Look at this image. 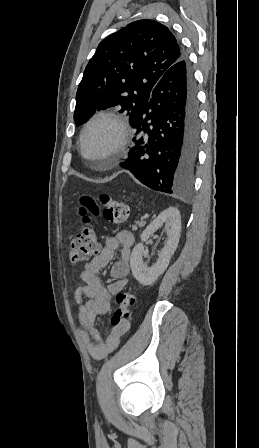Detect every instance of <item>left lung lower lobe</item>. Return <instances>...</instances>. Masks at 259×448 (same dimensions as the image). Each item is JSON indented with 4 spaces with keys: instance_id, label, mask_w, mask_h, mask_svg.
I'll list each match as a JSON object with an SVG mask.
<instances>
[{
    "instance_id": "0a47b994",
    "label": "left lung lower lobe",
    "mask_w": 259,
    "mask_h": 448,
    "mask_svg": "<svg viewBox=\"0 0 259 448\" xmlns=\"http://www.w3.org/2000/svg\"><path fill=\"white\" fill-rule=\"evenodd\" d=\"M129 122L139 136L120 166L156 191L172 194L189 188L197 162L199 112L184 52L156 83L147 105L130 114Z\"/></svg>"
}]
</instances>
